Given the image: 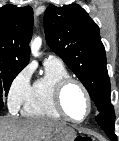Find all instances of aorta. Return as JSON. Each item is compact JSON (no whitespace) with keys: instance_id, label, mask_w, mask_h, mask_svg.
I'll use <instances>...</instances> for the list:
<instances>
[{"instance_id":"762f6f07","label":"aorta","mask_w":119,"mask_h":141,"mask_svg":"<svg viewBox=\"0 0 119 141\" xmlns=\"http://www.w3.org/2000/svg\"><path fill=\"white\" fill-rule=\"evenodd\" d=\"M42 40L40 37H36L32 42H31V52L34 56H38V50L41 47Z\"/></svg>"}]
</instances>
